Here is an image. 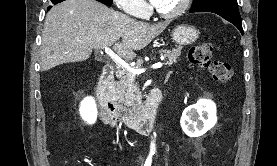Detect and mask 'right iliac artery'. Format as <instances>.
<instances>
[{"instance_id":"right-iliac-artery-1","label":"right iliac artery","mask_w":277,"mask_h":166,"mask_svg":"<svg viewBox=\"0 0 277 166\" xmlns=\"http://www.w3.org/2000/svg\"><path fill=\"white\" fill-rule=\"evenodd\" d=\"M151 162H152V156L149 155L146 159L144 166H151Z\"/></svg>"}]
</instances>
